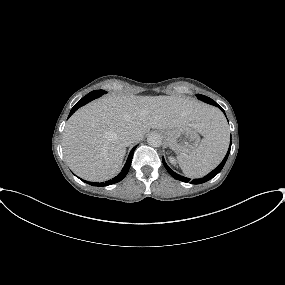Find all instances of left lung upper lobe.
Masks as SVG:
<instances>
[{
    "label": "left lung upper lobe",
    "instance_id": "left-lung-upper-lobe-1",
    "mask_svg": "<svg viewBox=\"0 0 285 285\" xmlns=\"http://www.w3.org/2000/svg\"><path fill=\"white\" fill-rule=\"evenodd\" d=\"M196 96H197L198 99H200V100H202V101H204L206 103L212 104L214 106L218 105L215 101H213L211 98H209L207 96H204V95H201V94H197Z\"/></svg>",
    "mask_w": 285,
    "mask_h": 285
}]
</instances>
